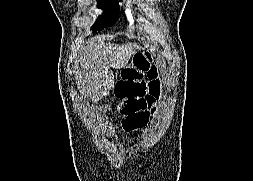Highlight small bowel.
<instances>
[{
    "label": "small bowel",
    "instance_id": "c3829d8e",
    "mask_svg": "<svg viewBox=\"0 0 253 181\" xmlns=\"http://www.w3.org/2000/svg\"><path fill=\"white\" fill-rule=\"evenodd\" d=\"M147 93L151 100L158 98L161 88V82L158 78V72L156 69H150L147 73Z\"/></svg>",
    "mask_w": 253,
    "mask_h": 181
}]
</instances>
